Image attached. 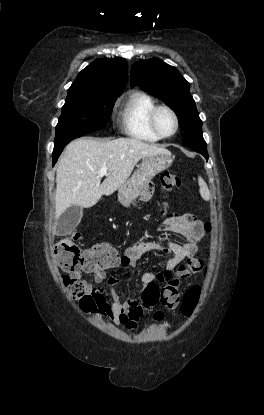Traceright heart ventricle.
<instances>
[{
  "instance_id": "e07e8e85",
  "label": "right heart ventricle",
  "mask_w": 264,
  "mask_h": 415,
  "mask_svg": "<svg viewBox=\"0 0 264 415\" xmlns=\"http://www.w3.org/2000/svg\"><path fill=\"white\" fill-rule=\"evenodd\" d=\"M154 99L148 94L135 92L121 103L120 122L122 129L129 137L156 143L160 140L149 126V113L156 106Z\"/></svg>"
}]
</instances>
